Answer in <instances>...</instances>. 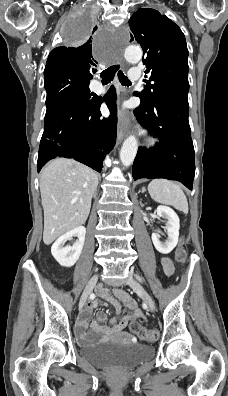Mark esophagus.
Wrapping results in <instances>:
<instances>
[{
    "label": "esophagus",
    "instance_id": "34e87169",
    "mask_svg": "<svg viewBox=\"0 0 228 396\" xmlns=\"http://www.w3.org/2000/svg\"><path fill=\"white\" fill-rule=\"evenodd\" d=\"M125 136H126V131H125L123 125L120 124L118 126V130H117V143L118 144L121 143Z\"/></svg>",
    "mask_w": 228,
    "mask_h": 396
}]
</instances>
